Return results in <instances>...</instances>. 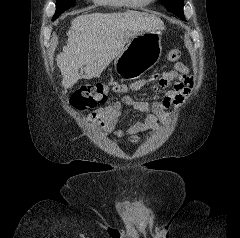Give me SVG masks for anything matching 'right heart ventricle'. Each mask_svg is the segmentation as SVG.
I'll list each match as a JSON object with an SVG mask.
<instances>
[{"mask_svg": "<svg viewBox=\"0 0 240 238\" xmlns=\"http://www.w3.org/2000/svg\"><path fill=\"white\" fill-rule=\"evenodd\" d=\"M94 1L98 4L108 6V7H112V8H118V9L119 8H125V7H131V6H128L127 4H125L123 2V0H94ZM136 2H137V4L135 6H132V7L144 6V5L140 4L139 0H137Z\"/></svg>", "mask_w": 240, "mask_h": 238, "instance_id": "obj_1", "label": "right heart ventricle"}]
</instances>
